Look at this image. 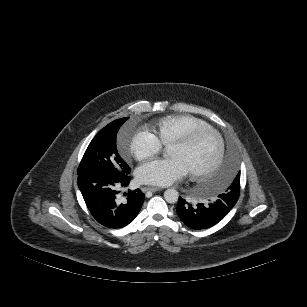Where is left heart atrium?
<instances>
[{"mask_svg":"<svg viewBox=\"0 0 307 307\" xmlns=\"http://www.w3.org/2000/svg\"><path fill=\"white\" fill-rule=\"evenodd\" d=\"M189 171L180 158L169 155L141 164L137 168L136 177L139 183L168 186L180 180Z\"/></svg>","mask_w":307,"mask_h":307,"instance_id":"1","label":"left heart atrium"}]
</instances>
